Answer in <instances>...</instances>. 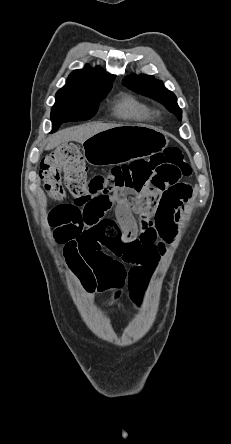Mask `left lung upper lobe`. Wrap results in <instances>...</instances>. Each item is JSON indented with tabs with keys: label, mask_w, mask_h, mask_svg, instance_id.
<instances>
[{
	"label": "left lung upper lobe",
	"mask_w": 231,
	"mask_h": 444,
	"mask_svg": "<svg viewBox=\"0 0 231 444\" xmlns=\"http://www.w3.org/2000/svg\"><path fill=\"white\" fill-rule=\"evenodd\" d=\"M123 85L129 89L150 97L166 106L168 110L182 119V111L177 104L176 96L164 87L161 81L148 75H131L123 80Z\"/></svg>",
	"instance_id": "left-lung-upper-lobe-1"
}]
</instances>
